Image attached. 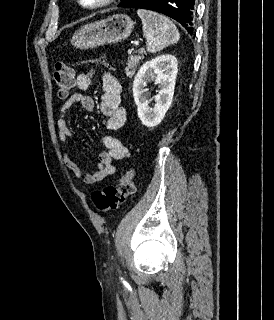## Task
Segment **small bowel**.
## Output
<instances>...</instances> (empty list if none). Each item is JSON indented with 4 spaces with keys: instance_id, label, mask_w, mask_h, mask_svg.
Returning a JSON list of instances; mask_svg holds the SVG:
<instances>
[{
    "instance_id": "obj_1",
    "label": "small bowel",
    "mask_w": 274,
    "mask_h": 320,
    "mask_svg": "<svg viewBox=\"0 0 274 320\" xmlns=\"http://www.w3.org/2000/svg\"><path fill=\"white\" fill-rule=\"evenodd\" d=\"M93 81V73H81L77 76V87L80 90H87ZM103 94L100 102V111L106 118V127L115 131L121 129L126 123V110L121 103V85L118 79L110 72H104L102 76ZM76 104H80L85 110L93 111L95 103L92 97L83 93H73L62 104L60 115L57 121L59 138L66 143L72 137V131L67 123V115ZM102 143L106 151L99 155V164L93 173L83 171L79 165L69 157L67 151L63 153V162L74 177L84 184L94 185L102 182L115 173V160H123L129 157L130 153L122 141L115 136L104 135Z\"/></svg>"
}]
</instances>
